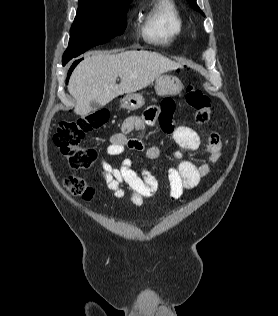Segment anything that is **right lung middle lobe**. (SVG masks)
<instances>
[{
	"label": "right lung middle lobe",
	"mask_w": 278,
	"mask_h": 316,
	"mask_svg": "<svg viewBox=\"0 0 278 316\" xmlns=\"http://www.w3.org/2000/svg\"><path fill=\"white\" fill-rule=\"evenodd\" d=\"M130 1L115 3L79 2L71 27L69 45L62 62L67 63L89 48L121 35L127 25Z\"/></svg>",
	"instance_id": "obj_1"
}]
</instances>
